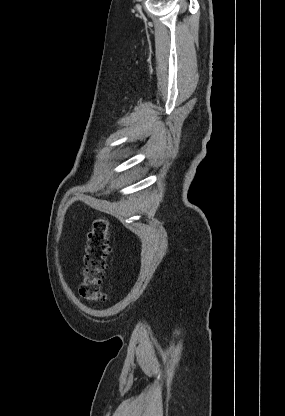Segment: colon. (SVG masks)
Masks as SVG:
<instances>
[{"instance_id":"colon-1","label":"colon","mask_w":285,"mask_h":416,"mask_svg":"<svg viewBox=\"0 0 285 416\" xmlns=\"http://www.w3.org/2000/svg\"><path fill=\"white\" fill-rule=\"evenodd\" d=\"M109 253V224L104 219H97L93 222L87 236L83 282L79 289L80 295L89 302L99 303L106 299L101 289V283Z\"/></svg>"}]
</instances>
